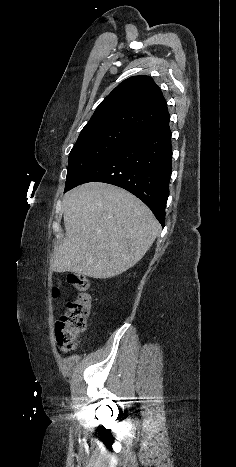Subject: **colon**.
<instances>
[{"instance_id": "5ec220e1", "label": "colon", "mask_w": 236, "mask_h": 467, "mask_svg": "<svg viewBox=\"0 0 236 467\" xmlns=\"http://www.w3.org/2000/svg\"><path fill=\"white\" fill-rule=\"evenodd\" d=\"M68 284L78 291L79 295L76 299L67 302L66 311L55 325L56 340L63 352L74 350L76 339L87 328L92 309L88 278L80 273H71ZM53 294L57 298L60 295V288L55 287Z\"/></svg>"}]
</instances>
